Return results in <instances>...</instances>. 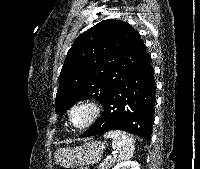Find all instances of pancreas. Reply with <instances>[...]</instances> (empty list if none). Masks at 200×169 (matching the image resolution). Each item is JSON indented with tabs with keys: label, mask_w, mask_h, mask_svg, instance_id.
Listing matches in <instances>:
<instances>
[{
	"label": "pancreas",
	"mask_w": 200,
	"mask_h": 169,
	"mask_svg": "<svg viewBox=\"0 0 200 169\" xmlns=\"http://www.w3.org/2000/svg\"><path fill=\"white\" fill-rule=\"evenodd\" d=\"M116 162V159H110L109 161H104L99 165L98 169H110L112 164Z\"/></svg>",
	"instance_id": "pancreas-1"
}]
</instances>
